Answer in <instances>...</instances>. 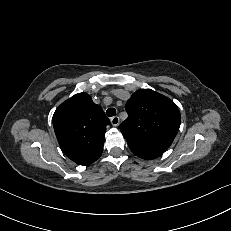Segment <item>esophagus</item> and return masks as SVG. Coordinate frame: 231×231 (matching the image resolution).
Masks as SVG:
<instances>
[{"label":"esophagus","instance_id":"esophagus-1","mask_svg":"<svg viewBox=\"0 0 231 231\" xmlns=\"http://www.w3.org/2000/svg\"><path fill=\"white\" fill-rule=\"evenodd\" d=\"M110 121H111V124L115 127L118 126L120 123V119L118 116L112 117Z\"/></svg>","mask_w":231,"mask_h":231}]
</instances>
